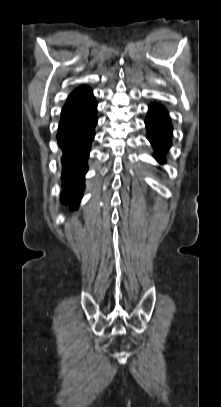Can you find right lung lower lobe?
<instances>
[{"label": "right lung lower lobe", "mask_w": 221, "mask_h": 407, "mask_svg": "<svg viewBox=\"0 0 221 407\" xmlns=\"http://www.w3.org/2000/svg\"><path fill=\"white\" fill-rule=\"evenodd\" d=\"M97 103L88 87L78 88L61 112L57 140L63 151L61 201L77 208L84 189L89 148L95 136Z\"/></svg>", "instance_id": "obj_1"}]
</instances>
